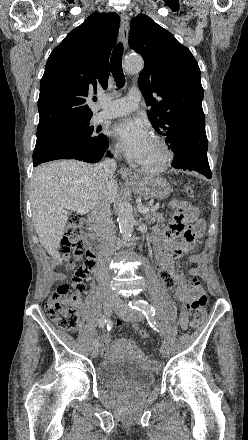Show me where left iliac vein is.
<instances>
[{"label":"left iliac vein","mask_w":248,"mask_h":440,"mask_svg":"<svg viewBox=\"0 0 248 440\" xmlns=\"http://www.w3.org/2000/svg\"><path fill=\"white\" fill-rule=\"evenodd\" d=\"M114 311L116 314L121 317L123 320L128 322H138L144 319V316L141 312L131 311L124 308L123 300L119 297L116 298V302L114 305ZM161 354L163 357H167L169 350L167 345L164 343L161 347Z\"/></svg>","instance_id":"4c4485c4"}]
</instances>
